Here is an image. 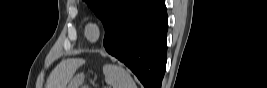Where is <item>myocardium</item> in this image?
Here are the masks:
<instances>
[{"mask_svg": "<svg viewBox=\"0 0 267 88\" xmlns=\"http://www.w3.org/2000/svg\"><path fill=\"white\" fill-rule=\"evenodd\" d=\"M93 30L94 31V35H90V31ZM101 28L99 26L98 23L96 22H89L85 25V29H84V35L85 38L91 42V43H95L97 42L100 37H101Z\"/></svg>", "mask_w": 267, "mask_h": 88, "instance_id": "1", "label": "myocardium"}]
</instances>
